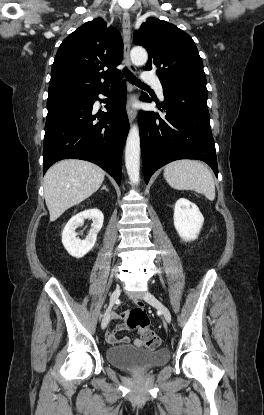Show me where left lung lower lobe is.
Instances as JSON below:
<instances>
[{
    "label": "left lung lower lobe",
    "instance_id": "0a47b994",
    "mask_svg": "<svg viewBox=\"0 0 264 415\" xmlns=\"http://www.w3.org/2000/svg\"><path fill=\"white\" fill-rule=\"evenodd\" d=\"M164 114L140 111L139 130L145 182L163 165L178 159L206 162L218 176L207 93L163 91ZM142 101L150 102L145 95Z\"/></svg>",
    "mask_w": 264,
    "mask_h": 415
}]
</instances>
